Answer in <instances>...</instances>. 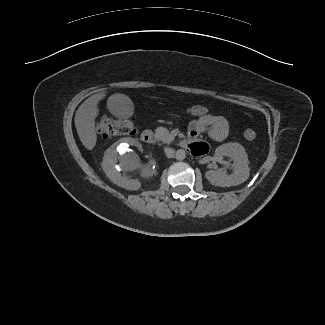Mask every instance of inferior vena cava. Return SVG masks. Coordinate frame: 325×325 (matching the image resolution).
I'll use <instances>...</instances> for the list:
<instances>
[{"instance_id": "obj_1", "label": "inferior vena cava", "mask_w": 325, "mask_h": 325, "mask_svg": "<svg viewBox=\"0 0 325 325\" xmlns=\"http://www.w3.org/2000/svg\"><path fill=\"white\" fill-rule=\"evenodd\" d=\"M164 152H165V154H166V156H167L168 158H172V157H174V155H175V150L172 149V148H168V147H166V148H164Z\"/></svg>"}]
</instances>
